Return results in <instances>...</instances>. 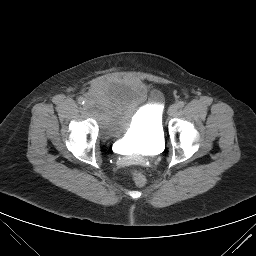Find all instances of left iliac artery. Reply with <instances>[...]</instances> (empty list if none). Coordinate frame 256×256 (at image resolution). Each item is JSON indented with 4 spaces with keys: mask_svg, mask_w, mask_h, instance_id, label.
<instances>
[{
    "mask_svg": "<svg viewBox=\"0 0 256 256\" xmlns=\"http://www.w3.org/2000/svg\"><path fill=\"white\" fill-rule=\"evenodd\" d=\"M184 105H185V103H184L183 101H179V102L177 103L178 108H183Z\"/></svg>",
    "mask_w": 256,
    "mask_h": 256,
    "instance_id": "1",
    "label": "left iliac artery"
}]
</instances>
